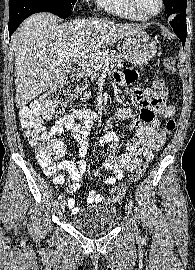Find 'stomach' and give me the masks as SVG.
<instances>
[{"instance_id":"0dacf381","label":"stomach","mask_w":195,"mask_h":270,"mask_svg":"<svg viewBox=\"0 0 195 270\" xmlns=\"http://www.w3.org/2000/svg\"><path fill=\"white\" fill-rule=\"evenodd\" d=\"M157 52V43L144 31L126 36L123 42V54L135 66L147 64Z\"/></svg>"}]
</instances>
